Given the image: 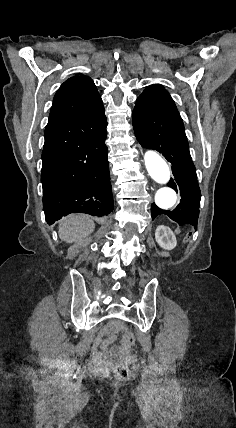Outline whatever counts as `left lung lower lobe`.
Segmentation results:
<instances>
[{"mask_svg": "<svg viewBox=\"0 0 236 428\" xmlns=\"http://www.w3.org/2000/svg\"><path fill=\"white\" fill-rule=\"evenodd\" d=\"M132 122L141 146L157 150L171 163L174 178L168 186L181 195L180 204L172 211L151 204L152 220L165 214L179 225L190 224L196 230L201 192L178 110L135 105Z\"/></svg>", "mask_w": 236, "mask_h": 428, "instance_id": "left-lung-lower-lobe-1", "label": "left lung lower lobe"}]
</instances>
